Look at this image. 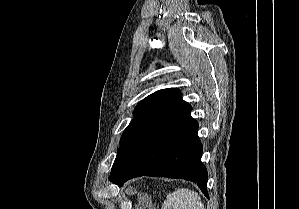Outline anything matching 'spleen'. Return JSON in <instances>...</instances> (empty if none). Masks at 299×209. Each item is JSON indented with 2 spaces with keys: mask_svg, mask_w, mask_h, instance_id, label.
Returning <instances> with one entry per match:
<instances>
[{
  "mask_svg": "<svg viewBox=\"0 0 299 209\" xmlns=\"http://www.w3.org/2000/svg\"><path fill=\"white\" fill-rule=\"evenodd\" d=\"M161 209H205L197 192L180 188L167 195Z\"/></svg>",
  "mask_w": 299,
  "mask_h": 209,
  "instance_id": "1",
  "label": "spleen"
}]
</instances>
